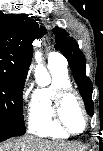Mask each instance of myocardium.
Returning <instances> with one entry per match:
<instances>
[{"label": "myocardium", "mask_w": 103, "mask_h": 151, "mask_svg": "<svg viewBox=\"0 0 103 151\" xmlns=\"http://www.w3.org/2000/svg\"><path fill=\"white\" fill-rule=\"evenodd\" d=\"M69 96H74L83 111L84 114V127L81 131H74L63 119L62 110L63 104ZM52 118L56 126H58L63 131L67 132L68 134L78 135L85 132L89 125V114L85 105V102L81 95L72 87H62L56 90L54 97H53V104H52Z\"/></svg>", "instance_id": "myocardium-1"}]
</instances>
